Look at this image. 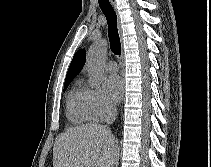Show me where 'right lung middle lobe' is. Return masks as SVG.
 <instances>
[{
  "label": "right lung middle lobe",
  "mask_w": 211,
  "mask_h": 167,
  "mask_svg": "<svg viewBox=\"0 0 211 167\" xmlns=\"http://www.w3.org/2000/svg\"><path fill=\"white\" fill-rule=\"evenodd\" d=\"M70 82H71V81L65 82V84H64V91L67 89V87H68V85L70 84Z\"/></svg>",
  "instance_id": "obj_1"
}]
</instances>
